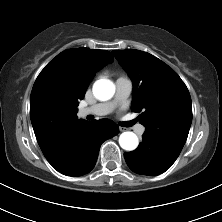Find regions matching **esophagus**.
I'll return each instance as SVG.
<instances>
[{
  "instance_id": "34e87169",
  "label": "esophagus",
  "mask_w": 222,
  "mask_h": 222,
  "mask_svg": "<svg viewBox=\"0 0 222 222\" xmlns=\"http://www.w3.org/2000/svg\"><path fill=\"white\" fill-rule=\"evenodd\" d=\"M119 130H120L121 132H124V131H126V130H127V128L122 127V126H119Z\"/></svg>"
}]
</instances>
